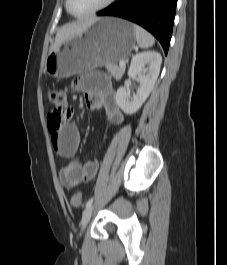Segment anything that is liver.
<instances>
[{
    "instance_id": "obj_1",
    "label": "liver",
    "mask_w": 227,
    "mask_h": 265,
    "mask_svg": "<svg viewBox=\"0 0 227 265\" xmlns=\"http://www.w3.org/2000/svg\"><path fill=\"white\" fill-rule=\"evenodd\" d=\"M93 20L79 21L75 23H69L62 26L55 37V43L53 49L61 45L66 40L81 35L91 24Z\"/></svg>"
}]
</instances>
